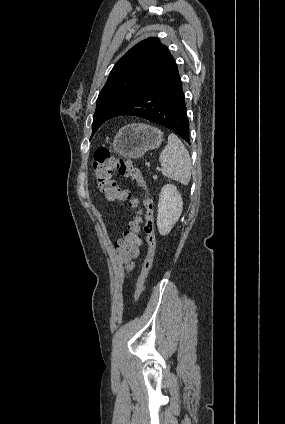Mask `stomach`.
<instances>
[{
  "label": "stomach",
  "instance_id": "0dacf381",
  "mask_svg": "<svg viewBox=\"0 0 285 424\" xmlns=\"http://www.w3.org/2000/svg\"><path fill=\"white\" fill-rule=\"evenodd\" d=\"M163 133L146 124H129L122 127L115 136L113 150L126 158L142 157L148 150L162 144Z\"/></svg>",
  "mask_w": 285,
  "mask_h": 424
}]
</instances>
